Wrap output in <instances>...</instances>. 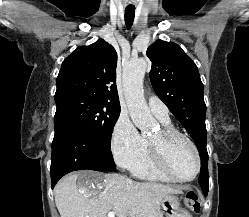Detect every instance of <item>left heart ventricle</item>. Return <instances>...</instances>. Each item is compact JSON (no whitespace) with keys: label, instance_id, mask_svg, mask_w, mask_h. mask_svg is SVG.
<instances>
[{"label":"left heart ventricle","instance_id":"obj_1","mask_svg":"<svg viewBox=\"0 0 249 217\" xmlns=\"http://www.w3.org/2000/svg\"><path fill=\"white\" fill-rule=\"evenodd\" d=\"M153 142H160V131L151 138ZM167 158L172 172L181 178L191 177L196 169V158L193 150L182 139L172 140L167 147Z\"/></svg>","mask_w":249,"mask_h":217}]
</instances>
